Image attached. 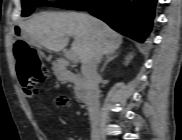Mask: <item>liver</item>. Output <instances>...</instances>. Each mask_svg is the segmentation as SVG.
<instances>
[{
  "mask_svg": "<svg viewBox=\"0 0 182 140\" xmlns=\"http://www.w3.org/2000/svg\"><path fill=\"white\" fill-rule=\"evenodd\" d=\"M22 34L39 46L62 51L73 37L72 50L83 63L96 53H114L122 37L103 21L85 13L43 12L19 25Z\"/></svg>",
  "mask_w": 182,
  "mask_h": 140,
  "instance_id": "6515ba94",
  "label": "liver"
}]
</instances>
